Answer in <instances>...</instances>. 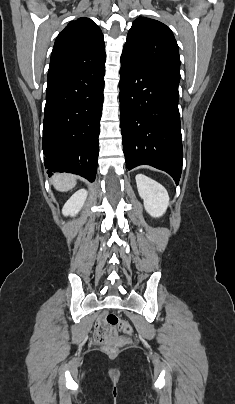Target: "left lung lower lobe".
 <instances>
[{
  "label": "left lung lower lobe",
  "mask_w": 235,
  "mask_h": 404,
  "mask_svg": "<svg viewBox=\"0 0 235 404\" xmlns=\"http://www.w3.org/2000/svg\"><path fill=\"white\" fill-rule=\"evenodd\" d=\"M120 120L127 168L147 164L179 183L182 136L178 110L180 77L121 55Z\"/></svg>",
  "instance_id": "obj_1"
}]
</instances>
